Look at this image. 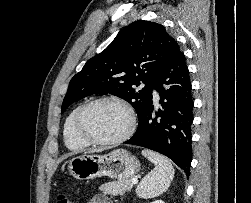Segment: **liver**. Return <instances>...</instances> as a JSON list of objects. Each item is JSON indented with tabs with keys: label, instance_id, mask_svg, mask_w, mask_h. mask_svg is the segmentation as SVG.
<instances>
[{
	"label": "liver",
	"instance_id": "obj_1",
	"mask_svg": "<svg viewBox=\"0 0 251 203\" xmlns=\"http://www.w3.org/2000/svg\"><path fill=\"white\" fill-rule=\"evenodd\" d=\"M103 151V149H99V150H90L88 153H95V152H101Z\"/></svg>",
	"mask_w": 251,
	"mask_h": 203
}]
</instances>
